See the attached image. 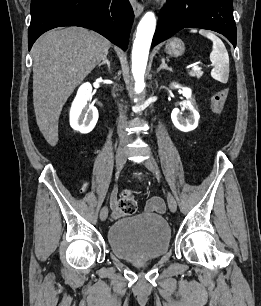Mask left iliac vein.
Wrapping results in <instances>:
<instances>
[{"mask_svg":"<svg viewBox=\"0 0 261 306\" xmlns=\"http://www.w3.org/2000/svg\"><path fill=\"white\" fill-rule=\"evenodd\" d=\"M144 165L148 170L153 172L157 178L161 179L160 171L152 159L145 160ZM167 202L170 211L175 212L177 209V203L174 196L169 191L167 192Z\"/></svg>","mask_w":261,"mask_h":306,"instance_id":"left-iliac-vein-1","label":"left iliac vein"}]
</instances>
